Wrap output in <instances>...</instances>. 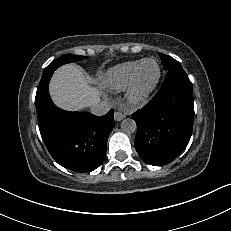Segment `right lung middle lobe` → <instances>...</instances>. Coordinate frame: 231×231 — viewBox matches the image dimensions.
Wrapping results in <instances>:
<instances>
[{
	"label": "right lung middle lobe",
	"mask_w": 231,
	"mask_h": 231,
	"mask_svg": "<svg viewBox=\"0 0 231 231\" xmlns=\"http://www.w3.org/2000/svg\"><path fill=\"white\" fill-rule=\"evenodd\" d=\"M84 58H85V56L65 54V55L59 57L58 59L54 60L53 62H51L44 71H47V69L56 70L59 66H61L63 64L71 63L74 61H79V60H82Z\"/></svg>",
	"instance_id": "1"
}]
</instances>
